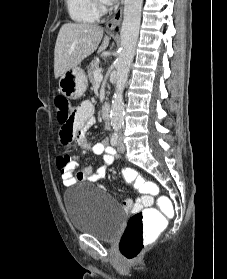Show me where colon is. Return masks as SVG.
Instances as JSON below:
<instances>
[{
  "mask_svg": "<svg viewBox=\"0 0 227 279\" xmlns=\"http://www.w3.org/2000/svg\"><path fill=\"white\" fill-rule=\"evenodd\" d=\"M57 121L61 125V137L64 141H68L73 131H78L75 126V106L74 103L67 97L58 96L55 100ZM127 181L134 184L137 189L147 191L144 195H157L160 191L157 184L145 180L135 170L125 173ZM167 216L160 209L144 208L134 213L126 226L124 234L120 242V253L127 260L136 259L143 249L144 239L153 237L165 226Z\"/></svg>",
  "mask_w": 227,
  "mask_h": 279,
  "instance_id": "5ec220e1",
  "label": "colon"
}]
</instances>
